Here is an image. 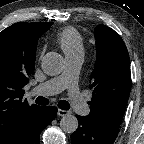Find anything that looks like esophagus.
Wrapping results in <instances>:
<instances>
[{
    "instance_id": "esophagus-1",
    "label": "esophagus",
    "mask_w": 144,
    "mask_h": 144,
    "mask_svg": "<svg viewBox=\"0 0 144 144\" xmlns=\"http://www.w3.org/2000/svg\"><path fill=\"white\" fill-rule=\"evenodd\" d=\"M57 114H58L59 116H66V115L69 114V112L66 111V110L58 109Z\"/></svg>"
}]
</instances>
